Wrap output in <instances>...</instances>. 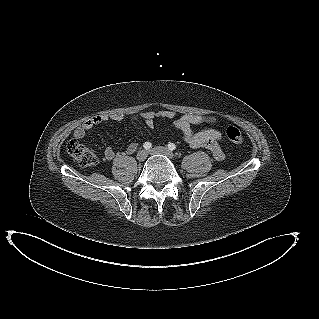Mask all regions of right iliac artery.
Instances as JSON below:
<instances>
[{"label":"right iliac artery","mask_w":319,"mask_h":319,"mask_svg":"<svg viewBox=\"0 0 319 319\" xmlns=\"http://www.w3.org/2000/svg\"><path fill=\"white\" fill-rule=\"evenodd\" d=\"M143 147L146 149V150H149L151 147H152V144L150 142H145L143 144Z\"/></svg>","instance_id":"82829eb1"}]
</instances>
